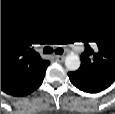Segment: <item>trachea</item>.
<instances>
[{
	"instance_id": "trachea-1",
	"label": "trachea",
	"mask_w": 115,
	"mask_h": 114,
	"mask_svg": "<svg viewBox=\"0 0 115 114\" xmlns=\"http://www.w3.org/2000/svg\"><path fill=\"white\" fill-rule=\"evenodd\" d=\"M53 52H55L56 54H60L61 55L63 53V49L58 48V49H56L54 51L52 48H49V47L44 48V53L49 54V53H53Z\"/></svg>"
}]
</instances>
